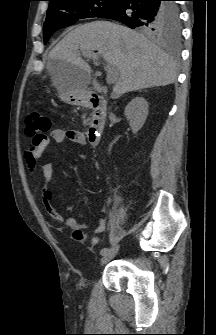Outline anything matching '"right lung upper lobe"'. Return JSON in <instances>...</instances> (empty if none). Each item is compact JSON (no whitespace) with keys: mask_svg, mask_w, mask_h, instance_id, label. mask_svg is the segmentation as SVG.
Listing matches in <instances>:
<instances>
[{"mask_svg":"<svg viewBox=\"0 0 216 335\" xmlns=\"http://www.w3.org/2000/svg\"><path fill=\"white\" fill-rule=\"evenodd\" d=\"M48 1H50V3H51V2L54 1V0H48Z\"/></svg>","mask_w":216,"mask_h":335,"instance_id":"cb5924a9","label":"right lung upper lobe"}]
</instances>
